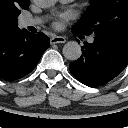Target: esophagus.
Segmentation results:
<instances>
[{"label": "esophagus", "mask_w": 128, "mask_h": 128, "mask_svg": "<svg viewBox=\"0 0 128 128\" xmlns=\"http://www.w3.org/2000/svg\"><path fill=\"white\" fill-rule=\"evenodd\" d=\"M66 39L63 36H52L50 38V43L51 44H58V43H65Z\"/></svg>", "instance_id": "obj_1"}]
</instances>
